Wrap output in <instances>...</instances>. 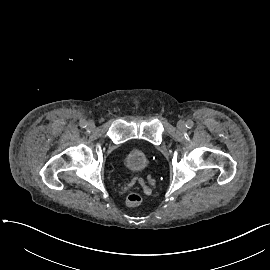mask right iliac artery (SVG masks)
I'll return each instance as SVG.
<instances>
[{
	"label": "right iliac artery",
	"instance_id": "obj_1",
	"mask_svg": "<svg viewBox=\"0 0 270 270\" xmlns=\"http://www.w3.org/2000/svg\"><path fill=\"white\" fill-rule=\"evenodd\" d=\"M80 126H81L82 128H85V127L87 126V121H86V120H81V121H80Z\"/></svg>",
	"mask_w": 270,
	"mask_h": 270
}]
</instances>
